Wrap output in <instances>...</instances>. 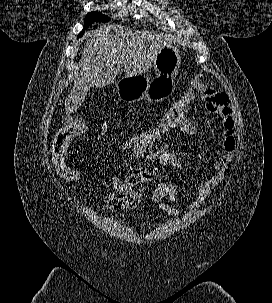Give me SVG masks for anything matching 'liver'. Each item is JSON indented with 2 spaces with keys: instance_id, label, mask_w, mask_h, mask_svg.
I'll list each match as a JSON object with an SVG mask.
<instances>
[{
  "instance_id": "1",
  "label": "liver",
  "mask_w": 272,
  "mask_h": 303,
  "mask_svg": "<svg viewBox=\"0 0 272 303\" xmlns=\"http://www.w3.org/2000/svg\"><path fill=\"white\" fill-rule=\"evenodd\" d=\"M80 71L75 74L72 92L65 100L66 114L77 111L90 87L114 83L121 69L126 77L146 72L160 50L172 40L158 33L124 28L121 25L99 27L85 34Z\"/></svg>"
}]
</instances>
